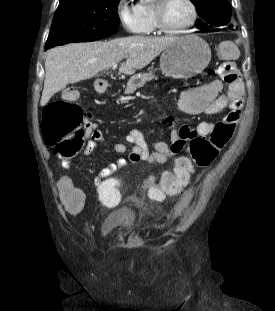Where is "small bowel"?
<instances>
[{"mask_svg": "<svg viewBox=\"0 0 275 311\" xmlns=\"http://www.w3.org/2000/svg\"><path fill=\"white\" fill-rule=\"evenodd\" d=\"M219 53H224L225 57L237 59L240 52L236 45L226 41L219 46ZM227 93L221 95L223 88L221 81L213 80L206 84L196 86L186 90L179 101V108L192 115H214L224 109L229 112H223V119L238 120L243 104L244 88L239 74L235 73V78L227 82ZM153 125L157 124L156 120L152 121ZM171 127L168 141H156L152 144V150L146 142L143 133L139 129L129 131L125 139L128 143L133 144L134 148L129 156L133 162L145 161L149 164H163L169 159L182 151L186 143L192 136H206L212 132L216 124L209 121L199 122L195 126H176L173 122H169ZM88 133V141L83 154L90 155L99 144L112 147L118 154H125L127 147L123 143H110L103 134L98 130L96 123H88L86 125ZM124 158L115 159L107 163L95 177L94 182L103 183V178H111V176L119 169L126 165ZM65 168L69 167V162L64 160ZM116 186V185H115ZM60 201H63V212L68 216H81L85 212L83 187H74L70 178L64 177L59 183Z\"/></svg>", "mask_w": 275, "mask_h": 311, "instance_id": "small-bowel-1", "label": "small bowel"}]
</instances>
